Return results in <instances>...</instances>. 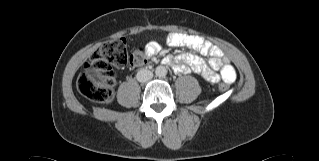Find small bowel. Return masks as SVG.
Masks as SVG:
<instances>
[{"label":"small bowel","mask_w":319,"mask_h":161,"mask_svg":"<svg viewBox=\"0 0 319 161\" xmlns=\"http://www.w3.org/2000/svg\"><path fill=\"white\" fill-rule=\"evenodd\" d=\"M167 42L173 46H188L203 56L209 55L211 57L208 65L204 59L192 53H180L174 57H166L164 62L169 64L175 72L189 73L193 71L212 83H217L221 79L228 83L234 81L236 76L234 67L223 57L222 50L211 42L187 33H170L167 36ZM159 50L160 45L156 41H150L146 45L148 56L156 55ZM218 70L219 74L216 72Z\"/></svg>","instance_id":"1"}]
</instances>
